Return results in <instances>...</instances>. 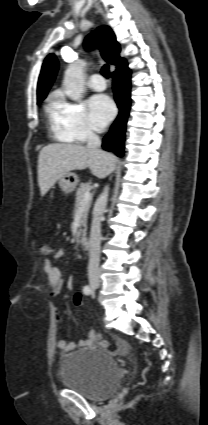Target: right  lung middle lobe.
I'll return each mask as SVG.
<instances>
[{"label": "right lung middle lobe", "mask_w": 208, "mask_h": 425, "mask_svg": "<svg viewBox=\"0 0 208 425\" xmlns=\"http://www.w3.org/2000/svg\"><path fill=\"white\" fill-rule=\"evenodd\" d=\"M42 101H38L37 104H40Z\"/></svg>", "instance_id": "1"}]
</instances>
